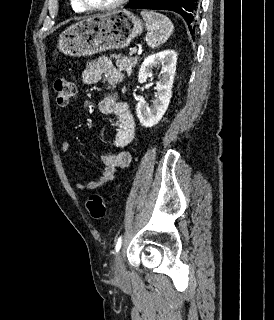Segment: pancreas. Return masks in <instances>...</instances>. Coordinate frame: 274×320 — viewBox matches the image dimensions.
Returning a JSON list of instances; mask_svg holds the SVG:
<instances>
[{
	"instance_id": "obj_1",
	"label": "pancreas",
	"mask_w": 274,
	"mask_h": 320,
	"mask_svg": "<svg viewBox=\"0 0 274 320\" xmlns=\"http://www.w3.org/2000/svg\"><path fill=\"white\" fill-rule=\"evenodd\" d=\"M111 58H115L118 70L127 72V76H131L132 70L138 62V56H135V58H126V56H122V54H118V56L117 54H113Z\"/></svg>"
}]
</instances>
